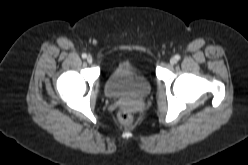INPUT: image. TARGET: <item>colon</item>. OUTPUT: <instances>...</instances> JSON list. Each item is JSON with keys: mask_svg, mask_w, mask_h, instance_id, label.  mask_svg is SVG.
I'll return each mask as SVG.
<instances>
[{"mask_svg": "<svg viewBox=\"0 0 248 165\" xmlns=\"http://www.w3.org/2000/svg\"><path fill=\"white\" fill-rule=\"evenodd\" d=\"M118 121L120 122V124L122 125H128L131 123L132 121V115L130 112L122 110L119 112L118 114Z\"/></svg>", "mask_w": 248, "mask_h": 165, "instance_id": "1", "label": "colon"}]
</instances>
